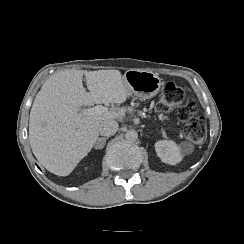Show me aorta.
I'll return each instance as SVG.
<instances>
[{"label": "aorta", "instance_id": "obj_1", "mask_svg": "<svg viewBox=\"0 0 244 244\" xmlns=\"http://www.w3.org/2000/svg\"><path fill=\"white\" fill-rule=\"evenodd\" d=\"M125 138L129 142H135L138 139V134L135 130H127L125 133Z\"/></svg>", "mask_w": 244, "mask_h": 244}]
</instances>
